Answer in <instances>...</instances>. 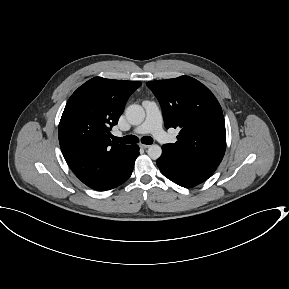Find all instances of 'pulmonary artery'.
Returning <instances> with one entry per match:
<instances>
[{"instance_id":"1","label":"pulmonary artery","mask_w":289,"mask_h":289,"mask_svg":"<svg viewBox=\"0 0 289 289\" xmlns=\"http://www.w3.org/2000/svg\"><path fill=\"white\" fill-rule=\"evenodd\" d=\"M142 105L146 112V118L141 125L133 130V133L139 135L151 133L159 141L168 142L170 137L162 127V115L158 105L150 100L143 101Z\"/></svg>"}]
</instances>
